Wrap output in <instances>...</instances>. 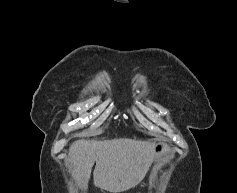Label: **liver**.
<instances>
[{
    "mask_svg": "<svg viewBox=\"0 0 237 193\" xmlns=\"http://www.w3.org/2000/svg\"><path fill=\"white\" fill-rule=\"evenodd\" d=\"M154 143L128 138L113 140H77L70 149L67 162L73 166L78 186L88 188L94 163V185L118 193L138 185L154 160Z\"/></svg>",
    "mask_w": 237,
    "mask_h": 193,
    "instance_id": "liver-1",
    "label": "liver"
}]
</instances>
